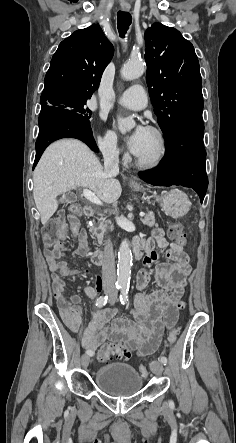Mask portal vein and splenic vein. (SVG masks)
<instances>
[{
	"label": "portal vein and splenic vein",
	"mask_w": 236,
	"mask_h": 443,
	"mask_svg": "<svg viewBox=\"0 0 236 443\" xmlns=\"http://www.w3.org/2000/svg\"><path fill=\"white\" fill-rule=\"evenodd\" d=\"M83 195L91 203L96 204L98 206H102L103 205L102 201L93 192H91L90 190L84 189L83 190ZM139 216L140 217H144L145 214L143 212H140Z\"/></svg>",
	"instance_id": "18ae733b"
}]
</instances>
